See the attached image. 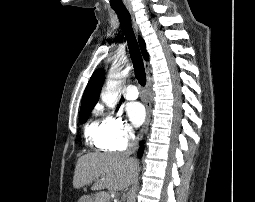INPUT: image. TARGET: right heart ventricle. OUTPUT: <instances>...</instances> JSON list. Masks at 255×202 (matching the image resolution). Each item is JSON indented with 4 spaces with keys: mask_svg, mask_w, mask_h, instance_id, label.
<instances>
[{
    "mask_svg": "<svg viewBox=\"0 0 255 202\" xmlns=\"http://www.w3.org/2000/svg\"><path fill=\"white\" fill-rule=\"evenodd\" d=\"M104 134V123L97 119L90 120L85 127L86 140L96 149H107Z\"/></svg>",
    "mask_w": 255,
    "mask_h": 202,
    "instance_id": "obj_1",
    "label": "right heart ventricle"
}]
</instances>
